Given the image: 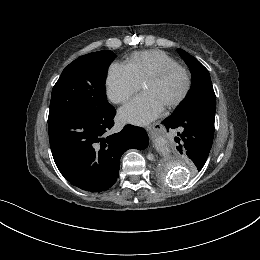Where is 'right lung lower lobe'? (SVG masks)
Instances as JSON below:
<instances>
[{
	"label": "right lung lower lobe",
	"instance_id": "1",
	"mask_svg": "<svg viewBox=\"0 0 260 260\" xmlns=\"http://www.w3.org/2000/svg\"><path fill=\"white\" fill-rule=\"evenodd\" d=\"M115 114L111 106L96 115L70 114L48 119L54 161L72 185L90 192L108 190L118 178L122 154L148 145L145 129L130 124L107 136Z\"/></svg>",
	"mask_w": 260,
	"mask_h": 260
}]
</instances>
